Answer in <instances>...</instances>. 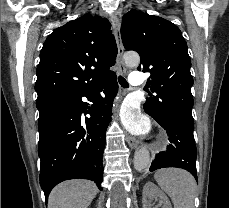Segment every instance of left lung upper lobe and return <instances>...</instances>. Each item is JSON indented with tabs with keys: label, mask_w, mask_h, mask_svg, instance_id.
I'll return each mask as SVG.
<instances>
[{
	"label": "left lung upper lobe",
	"mask_w": 229,
	"mask_h": 208,
	"mask_svg": "<svg viewBox=\"0 0 229 208\" xmlns=\"http://www.w3.org/2000/svg\"><path fill=\"white\" fill-rule=\"evenodd\" d=\"M121 36L126 50L139 53L138 70L151 73L147 84L156 95L149 93L145 111L194 125L191 60L180 29L164 18L129 11L122 18Z\"/></svg>",
	"instance_id": "5c2ea615"
}]
</instances>
